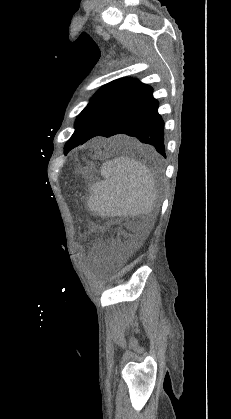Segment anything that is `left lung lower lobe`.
<instances>
[{"label": "left lung lower lobe", "instance_id": "obj_1", "mask_svg": "<svg viewBox=\"0 0 231 419\" xmlns=\"http://www.w3.org/2000/svg\"><path fill=\"white\" fill-rule=\"evenodd\" d=\"M152 88L141 84L125 101L111 110L80 143L96 136L126 134L149 144L164 157V122L158 113V101Z\"/></svg>", "mask_w": 231, "mask_h": 419}]
</instances>
